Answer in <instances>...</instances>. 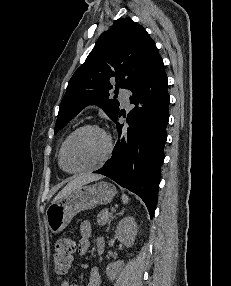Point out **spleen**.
Masks as SVG:
<instances>
[{"mask_svg": "<svg viewBox=\"0 0 231 286\" xmlns=\"http://www.w3.org/2000/svg\"><path fill=\"white\" fill-rule=\"evenodd\" d=\"M122 202L124 203V204H127L128 202H129V197L127 196V195H122Z\"/></svg>", "mask_w": 231, "mask_h": 286, "instance_id": "obj_1", "label": "spleen"}]
</instances>
